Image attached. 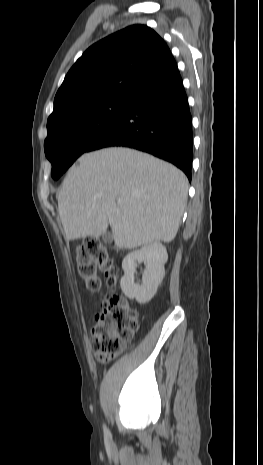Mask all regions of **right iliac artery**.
I'll return each mask as SVG.
<instances>
[{
    "instance_id": "82829eb1",
    "label": "right iliac artery",
    "mask_w": 263,
    "mask_h": 465,
    "mask_svg": "<svg viewBox=\"0 0 263 465\" xmlns=\"http://www.w3.org/2000/svg\"><path fill=\"white\" fill-rule=\"evenodd\" d=\"M104 433L107 435L109 432H108V429L106 428V426L104 425Z\"/></svg>"
}]
</instances>
